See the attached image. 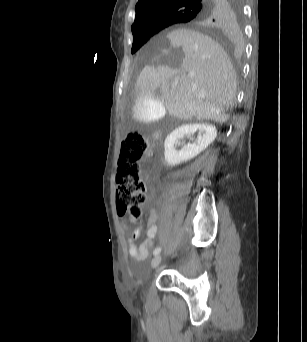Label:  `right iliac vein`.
I'll list each match as a JSON object with an SVG mask.
<instances>
[{
    "label": "right iliac vein",
    "instance_id": "obj_1",
    "mask_svg": "<svg viewBox=\"0 0 307 342\" xmlns=\"http://www.w3.org/2000/svg\"><path fill=\"white\" fill-rule=\"evenodd\" d=\"M161 260H162V256L160 254L156 255L152 259V262H151L152 267H154V268L157 267L161 263Z\"/></svg>",
    "mask_w": 307,
    "mask_h": 342
}]
</instances>
